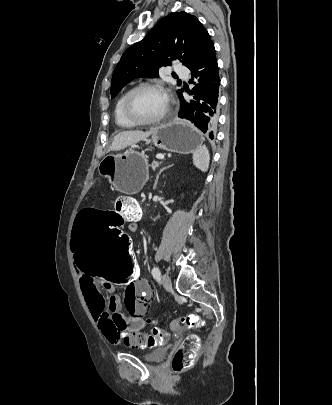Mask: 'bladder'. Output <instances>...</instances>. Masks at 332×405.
I'll return each mask as SVG.
<instances>
[{"label": "bladder", "instance_id": "31cf9c89", "mask_svg": "<svg viewBox=\"0 0 332 405\" xmlns=\"http://www.w3.org/2000/svg\"><path fill=\"white\" fill-rule=\"evenodd\" d=\"M167 352H168V347L162 346L151 352L141 354L140 357H141V359H143L146 362L157 363V362L162 361L166 357Z\"/></svg>", "mask_w": 332, "mask_h": 405}]
</instances>
